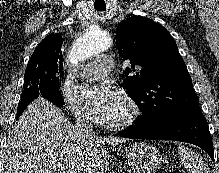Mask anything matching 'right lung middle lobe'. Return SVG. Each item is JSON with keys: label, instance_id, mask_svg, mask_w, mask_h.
Here are the masks:
<instances>
[{"label": "right lung middle lobe", "instance_id": "dd1d6c3e", "mask_svg": "<svg viewBox=\"0 0 219 173\" xmlns=\"http://www.w3.org/2000/svg\"><path fill=\"white\" fill-rule=\"evenodd\" d=\"M63 74L64 72L56 65L40 66L28 64L24 75L21 96L39 93L54 105L62 107L60 86Z\"/></svg>", "mask_w": 219, "mask_h": 173}]
</instances>
